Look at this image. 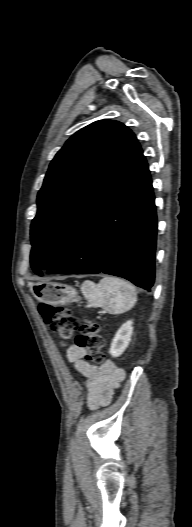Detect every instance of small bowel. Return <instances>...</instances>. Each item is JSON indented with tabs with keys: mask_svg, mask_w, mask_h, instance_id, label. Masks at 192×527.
Here are the masks:
<instances>
[{
	"mask_svg": "<svg viewBox=\"0 0 192 527\" xmlns=\"http://www.w3.org/2000/svg\"><path fill=\"white\" fill-rule=\"evenodd\" d=\"M85 353L83 348L75 344L68 348L67 359L86 378V401L90 408L95 409L110 402L114 389L124 378V372L112 361L95 367L83 359Z\"/></svg>",
	"mask_w": 192,
	"mask_h": 527,
	"instance_id": "1",
	"label": "small bowel"
}]
</instances>
